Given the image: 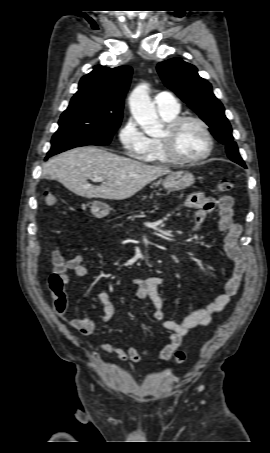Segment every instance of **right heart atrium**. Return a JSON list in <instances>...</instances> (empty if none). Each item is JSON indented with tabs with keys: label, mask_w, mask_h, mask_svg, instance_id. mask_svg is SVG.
Wrapping results in <instances>:
<instances>
[{
	"label": "right heart atrium",
	"mask_w": 270,
	"mask_h": 453,
	"mask_svg": "<svg viewBox=\"0 0 270 453\" xmlns=\"http://www.w3.org/2000/svg\"><path fill=\"white\" fill-rule=\"evenodd\" d=\"M118 137L124 153L130 157L139 158L148 147L149 138L132 117L124 122Z\"/></svg>",
	"instance_id": "right-heart-atrium-1"
}]
</instances>
